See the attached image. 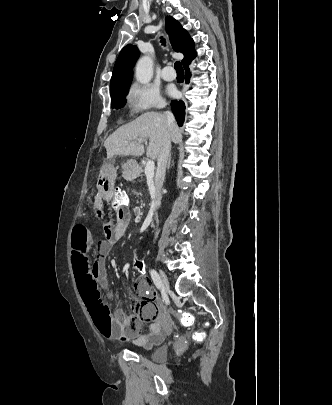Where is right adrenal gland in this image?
<instances>
[{"instance_id":"right-adrenal-gland-1","label":"right adrenal gland","mask_w":332,"mask_h":405,"mask_svg":"<svg viewBox=\"0 0 332 405\" xmlns=\"http://www.w3.org/2000/svg\"><path fill=\"white\" fill-rule=\"evenodd\" d=\"M171 166V153L169 154L168 163H167V170L170 169Z\"/></svg>"}]
</instances>
